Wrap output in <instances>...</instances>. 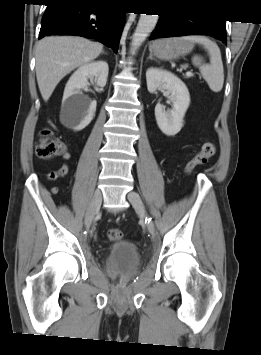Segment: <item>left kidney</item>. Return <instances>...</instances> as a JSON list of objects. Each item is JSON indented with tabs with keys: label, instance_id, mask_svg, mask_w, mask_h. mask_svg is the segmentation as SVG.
<instances>
[{
	"label": "left kidney",
	"instance_id": "left-kidney-1",
	"mask_svg": "<svg viewBox=\"0 0 261 355\" xmlns=\"http://www.w3.org/2000/svg\"><path fill=\"white\" fill-rule=\"evenodd\" d=\"M147 89L150 93L164 89L173 104L171 110L165 111L163 105L155 107V117L159 129L167 136L176 135L183 127V118L190 104V95L186 85L173 73L149 68L146 71Z\"/></svg>",
	"mask_w": 261,
	"mask_h": 355
}]
</instances>
